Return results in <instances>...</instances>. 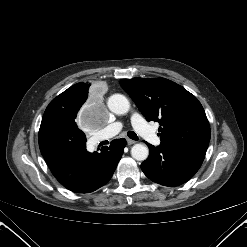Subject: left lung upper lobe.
I'll list each match as a JSON object with an SVG mask.
<instances>
[{"label": "left lung upper lobe", "mask_w": 247, "mask_h": 247, "mask_svg": "<svg viewBox=\"0 0 247 247\" xmlns=\"http://www.w3.org/2000/svg\"><path fill=\"white\" fill-rule=\"evenodd\" d=\"M147 121L160 124L161 144L186 140H210V126L197 98L165 78L120 80Z\"/></svg>", "instance_id": "obj_1"}]
</instances>
